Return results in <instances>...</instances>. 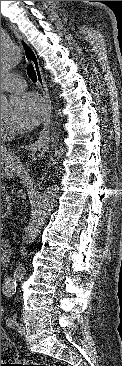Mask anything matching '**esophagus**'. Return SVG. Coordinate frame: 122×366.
<instances>
[{
    "label": "esophagus",
    "instance_id": "1",
    "mask_svg": "<svg viewBox=\"0 0 122 366\" xmlns=\"http://www.w3.org/2000/svg\"><path fill=\"white\" fill-rule=\"evenodd\" d=\"M16 36L19 40V43L21 45V48L24 52L26 59L29 62H31L34 67V70L37 75V83L42 91L46 106L44 127L39 134L38 140L30 146V150L32 152L37 150H44L48 148L50 142V124H51V113H52L50 95L35 50L29 45V43L24 39V37H22L17 32Z\"/></svg>",
    "mask_w": 122,
    "mask_h": 366
}]
</instances>
